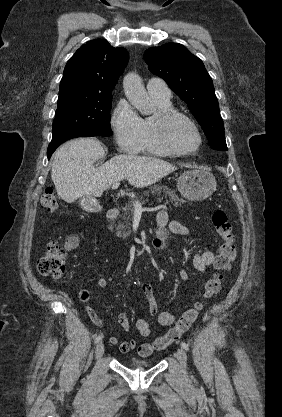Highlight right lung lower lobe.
Segmentation results:
<instances>
[{"mask_svg":"<svg viewBox=\"0 0 282 417\" xmlns=\"http://www.w3.org/2000/svg\"><path fill=\"white\" fill-rule=\"evenodd\" d=\"M88 136H97V135L90 134V133H87L85 131L76 130V131L65 132V133H62L60 135L52 137V141L49 144L48 150H47L48 159H50L52 153L56 150V148L60 144L65 142L66 140L76 138V137H88Z\"/></svg>","mask_w":282,"mask_h":417,"instance_id":"right-lung-lower-lobe-1","label":"right lung lower lobe"}]
</instances>
